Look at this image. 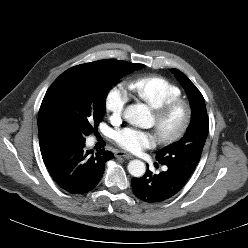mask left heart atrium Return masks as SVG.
<instances>
[{
	"label": "left heart atrium",
	"mask_w": 248,
	"mask_h": 248,
	"mask_svg": "<svg viewBox=\"0 0 248 248\" xmlns=\"http://www.w3.org/2000/svg\"><path fill=\"white\" fill-rule=\"evenodd\" d=\"M158 136L153 131L140 130L133 127H126L116 135V142L130 152H140L143 149L155 146Z\"/></svg>",
	"instance_id": "left-heart-atrium-1"
}]
</instances>
